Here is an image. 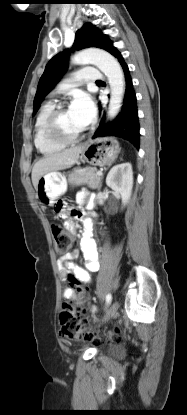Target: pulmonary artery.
Here are the masks:
<instances>
[{
  "mask_svg": "<svg viewBox=\"0 0 187 415\" xmlns=\"http://www.w3.org/2000/svg\"><path fill=\"white\" fill-rule=\"evenodd\" d=\"M102 78V73L95 67H84L77 71L74 76L68 80L61 89L77 86L82 82H97Z\"/></svg>",
  "mask_w": 187,
  "mask_h": 415,
  "instance_id": "1",
  "label": "pulmonary artery"
}]
</instances>
